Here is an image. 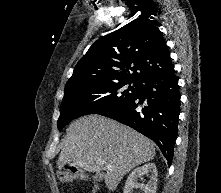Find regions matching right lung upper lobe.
I'll use <instances>...</instances> for the list:
<instances>
[{
	"label": "right lung upper lobe",
	"instance_id": "right-lung-upper-lobe-1",
	"mask_svg": "<svg viewBox=\"0 0 221 193\" xmlns=\"http://www.w3.org/2000/svg\"><path fill=\"white\" fill-rule=\"evenodd\" d=\"M151 17L135 19L98 39L74 68L65 89L135 81L173 69L170 53Z\"/></svg>",
	"mask_w": 221,
	"mask_h": 193
}]
</instances>
